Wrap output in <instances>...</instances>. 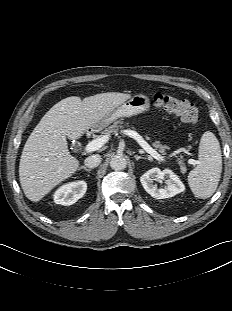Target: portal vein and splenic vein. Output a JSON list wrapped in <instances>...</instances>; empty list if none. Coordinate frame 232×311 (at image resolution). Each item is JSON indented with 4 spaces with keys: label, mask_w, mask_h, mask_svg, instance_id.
<instances>
[{
    "label": "portal vein and splenic vein",
    "mask_w": 232,
    "mask_h": 311,
    "mask_svg": "<svg viewBox=\"0 0 232 311\" xmlns=\"http://www.w3.org/2000/svg\"><path fill=\"white\" fill-rule=\"evenodd\" d=\"M123 132L129 137L135 139L138 142V144L153 158H155L158 161H162V162L165 161V158L161 156L157 151H155V149H153L137 132L132 131V130H124ZM108 140H109V135H103L95 140H92L86 145L85 151L87 153L96 151L100 149L105 143H107ZM189 163L197 164V162L192 159L189 160Z\"/></svg>",
    "instance_id": "1"
}]
</instances>
